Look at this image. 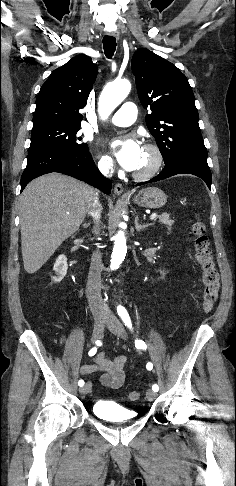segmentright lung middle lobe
<instances>
[{"mask_svg":"<svg viewBox=\"0 0 236 486\" xmlns=\"http://www.w3.org/2000/svg\"><path fill=\"white\" fill-rule=\"evenodd\" d=\"M80 125L42 124L33 126L30 148L52 147L58 149L87 150L86 143H81L77 136Z\"/></svg>","mask_w":236,"mask_h":486,"instance_id":"dd1d6c3e","label":"right lung middle lobe"}]
</instances>
